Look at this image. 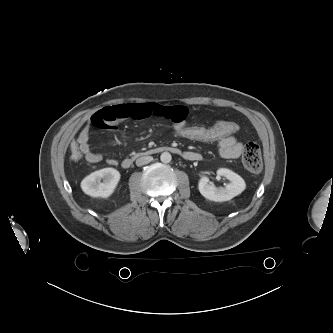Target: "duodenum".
<instances>
[{
	"instance_id": "obj_1",
	"label": "duodenum",
	"mask_w": 333,
	"mask_h": 333,
	"mask_svg": "<svg viewBox=\"0 0 333 333\" xmlns=\"http://www.w3.org/2000/svg\"><path fill=\"white\" fill-rule=\"evenodd\" d=\"M162 152H171L174 154H180L181 151L173 146H158V147H153V148H149L146 151L140 152L137 154V156L139 157H145V156H152V155H156ZM182 155L189 160H196L199 158V155L196 153H192V152H183ZM134 162V157H127L122 161V167L123 168H130L132 166Z\"/></svg>"
}]
</instances>
